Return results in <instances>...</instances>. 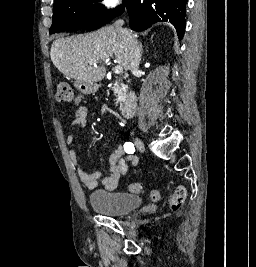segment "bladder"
I'll list each match as a JSON object with an SVG mask.
<instances>
[{
  "mask_svg": "<svg viewBox=\"0 0 256 267\" xmlns=\"http://www.w3.org/2000/svg\"><path fill=\"white\" fill-rule=\"evenodd\" d=\"M89 202L91 207L101 214L120 215L141 206L143 199L139 195L125 192L98 191L89 195Z\"/></svg>",
  "mask_w": 256,
  "mask_h": 267,
  "instance_id": "obj_1",
  "label": "bladder"
}]
</instances>
